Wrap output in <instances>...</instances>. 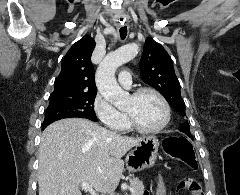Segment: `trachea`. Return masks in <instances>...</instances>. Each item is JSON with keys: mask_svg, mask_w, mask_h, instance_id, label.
Returning <instances> with one entry per match:
<instances>
[{"mask_svg": "<svg viewBox=\"0 0 240 195\" xmlns=\"http://www.w3.org/2000/svg\"><path fill=\"white\" fill-rule=\"evenodd\" d=\"M126 35H127V27L120 28V38L124 40V38H126Z\"/></svg>", "mask_w": 240, "mask_h": 195, "instance_id": "3493384b", "label": "trachea"}]
</instances>
